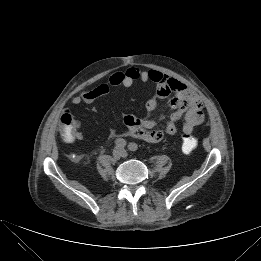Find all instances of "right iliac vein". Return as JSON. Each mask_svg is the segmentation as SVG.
Masks as SVG:
<instances>
[{
  "label": "right iliac vein",
  "instance_id": "obj_1",
  "mask_svg": "<svg viewBox=\"0 0 261 261\" xmlns=\"http://www.w3.org/2000/svg\"><path fill=\"white\" fill-rule=\"evenodd\" d=\"M122 154H123V150L120 147H116L112 152V157L113 159L118 160L120 159Z\"/></svg>",
  "mask_w": 261,
  "mask_h": 261
}]
</instances>
